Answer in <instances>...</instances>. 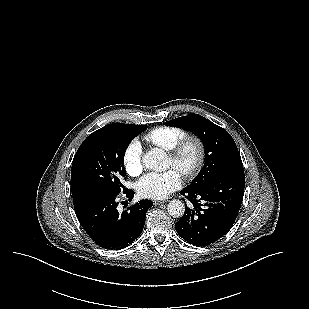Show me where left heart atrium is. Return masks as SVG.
Wrapping results in <instances>:
<instances>
[{
	"instance_id": "1",
	"label": "left heart atrium",
	"mask_w": 309,
	"mask_h": 309,
	"mask_svg": "<svg viewBox=\"0 0 309 309\" xmlns=\"http://www.w3.org/2000/svg\"><path fill=\"white\" fill-rule=\"evenodd\" d=\"M182 184L180 173L175 169L165 172H150L137 183V192L141 197L150 199L166 198Z\"/></svg>"
}]
</instances>
